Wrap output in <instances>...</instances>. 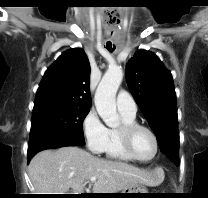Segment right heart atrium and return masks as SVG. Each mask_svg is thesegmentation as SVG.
Masks as SVG:
<instances>
[{"label":"right heart atrium","instance_id":"1","mask_svg":"<svg viewBox=\"0 0 208 198\" xmlns=\"http://www.w3.org/2000/svg\"><path fill=\"white\" fill-rule=\"evenodd\" d=\"M82 131L88 149L95 154L103 153L108 129L94 109L88 111L82 121Z\"/></svg>","mask_w":208,"mask_h":198}]
</instances>
